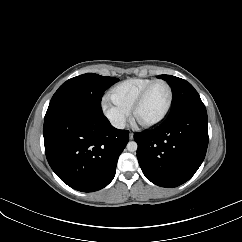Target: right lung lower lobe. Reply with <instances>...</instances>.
I'll return each mask as SVG.
<instances>
[{
    "instance_id": "1",
    "label": "right lung lower lobe",
    "mask_w": 242,
    "mask_h": 242,
    "mask_svg": "<svg viewBox=\"0 0 242 242\" xmlns=\"http://www.w3.org/2000/svg\"><path fill=\"white\" fill-rule=\"evenodd\" d=\"M43 135L57 176L73 189L93 192L114 178L129 131L114 128L103 114L66 110L45 116Z\"/></svg>"
}]
</instances>
